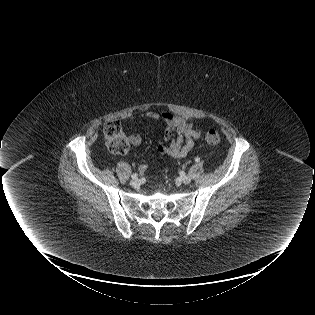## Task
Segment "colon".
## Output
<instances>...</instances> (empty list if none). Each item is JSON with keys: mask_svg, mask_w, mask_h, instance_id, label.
I'll list each match as a JSON object with an SVG mask.
<instances>
[{"mask_svg": "<svg viewBox=\"0 0 315 315\" xmlns=\"http://www.w3.org/2000/svg\"><path fill=\"white\" fill-rule=\"evenodd\" d=\"M104 139L110 152L124 155L129 150V141L119 121H111L104 127ZM205 141L210 145L220 143L221 137L215 130H210L205 135Z\"/></svg>", "mask_w": 315, "mask_h": 315, "instance_id": "colon-1", "label": "colon"}]
</instances>
